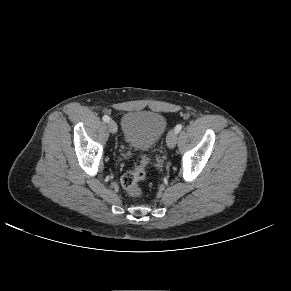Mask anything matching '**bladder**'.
<instances>
[{
    "instance_id": "obj_1",
    "label": "bladder",
    "mask_w": 291,
    "mask_h": 291,
    "mask_svg": "<svg viewBox=\"0 0 291 291\" xmlns=\"http://www.w3.org/2000/svg\"><path fill=\"white\" fill-rule=\"evenodd\" d=\"M166 119L152 111H129L122 118L124 143L137 151L152 149L166 130Z\"/></svg>"
}]
</instances>
